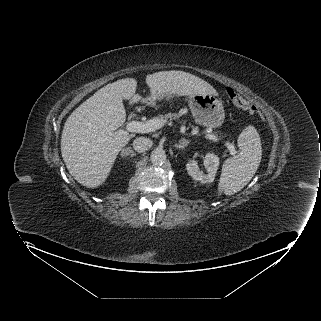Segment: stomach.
I'll use <instances>...</instances> for the list:
<instances>
[{
  "mask_svg": "<svg viewBox=\"0 0 321 321\" xmlns=\"http://www.w3.org/2000/svg\"><path fill=\"white\" fill-rule=\"evenodd\" d=\"M174 96L167 97L172 99ZM150 104L156 100L148 99ZM189 107L196 122L209 128H217L223 124L225 111L223 103L214 94H195L189 96Z\"/></svg>",
  "mask_w": 321,
  "mask_h": 321,
  "instance_id": "obj_1",
  "label": "stomach"
}]
</instances>
